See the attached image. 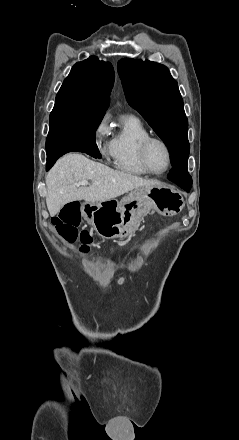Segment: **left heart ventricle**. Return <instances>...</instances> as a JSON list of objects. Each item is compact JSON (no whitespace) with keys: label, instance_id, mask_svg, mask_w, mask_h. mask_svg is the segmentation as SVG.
Here are the masks:
<instances>
[{"label":"left heart ventricle","instance_id":"left-heart-ventricle-1","mask_svg":"<svg viewBox=\"0 0 239 440\" xmlns=\"http://www.w3.org/2000/svg\"><path fill=\"white\" fill-rule=\"evenodd\" d=\"M149 162L152 169L161 172L167 167L168 159L164 147L159 143H153L149 148Z\"/></svg>","mask_w":239,"mask_h":440}]
</instances>
